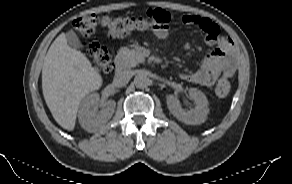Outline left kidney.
Segmentation results:
<instances>
[{
    "instance_id": "left-kidney-1",
    "label": "left kidney",
    "mask_w": 292,
    "mask_h": 184,
    "mask_svg": "<svg viewBox=\"0 0 292 184\" xmlns=\"http://www.w3.org/2000/svg\"><path fill=\"white\" fill-rule=\"evenodd\" d=\"M188 93L190 99L195 102V108L190 110L183 109L174 95L167 96V107L171 114L185 124H201L206 120L209 113L208 100L205 94L196 88H190Z\"/></svg>"
}]
</instances>
